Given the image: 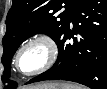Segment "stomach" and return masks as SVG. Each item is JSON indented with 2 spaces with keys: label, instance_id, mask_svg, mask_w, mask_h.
<instances>
[{
  "label": "stomach",
  "instance_id": "stomach-1",
  "mask_svg": "<svg viewBox=\"0 0 107 89\" xmlns=\"http://www.w3.org/2000/svg\"><path fill=\"white\" fill-rule=\"evenodd\" d=\"M32 89H36V88H32ZM57 89H63V88H62V86H61V87H59V88H57Z\"/></svg>",
  "mask_w": 107,
  "mask_h": 89
}]
</instances>
